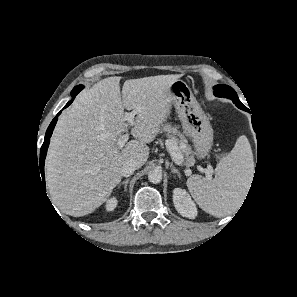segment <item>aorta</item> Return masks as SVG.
I'll return each mask as SVG.
<instances>
[{
  "label": "aorta",
  "mask_w": 297,
  "mask_h": 297,
  "mask_svg": "<svg viewBox=\"0 0 297 297\" xmlns=\"http://www.w3.org/2000/svg\"><path fill=\"white\" fill-rule=\"evenodd\" d=\"M148 180L153 184H158L162 181V172L158 169L151 171L148 174Z\"/></svg>",
  "instance_id": "762f6f07"
}]
</instances>
